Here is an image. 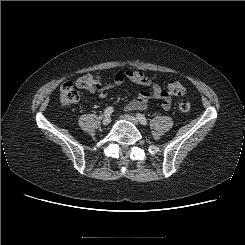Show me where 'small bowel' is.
<instances>
[{
    "instance_id": "small-bowel-1",
    "label": "small bowel",
    "mask_w": 245,
    "mask_h": 245,
    "mask_svg": "<svg viewBox=\"0 0 245 245\" xmlns=\"http://www.w3.org/2000/svg\"><path fill=\"white\" fill-rule=\"evenodd\" d=\"M126 81L134 84L149 87L150 91H142L132 99L126 106V111L146 110L150 101H158L161 108L169 110L172 106V99L170 95L160 87L148 74L139 70H127L125 72H117L112 81L106 82L99 90V96L105 98L108 90L113 86H122Z\"/></svg>"
}]
</instances>
